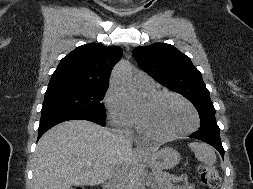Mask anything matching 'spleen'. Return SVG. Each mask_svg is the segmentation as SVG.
Here are the masks:
<instances>
[{"mask_svg": "<svg viewBox=\"0 0 253 189\" xmlns=\"http://www.w3.org/2000/svg\"><path fill=\"white\" fill-rule=\"evenodd\" d=\"M189 148L194 152L195 157L205 164L212 165L216 162V154L214 149L204 143L191 142Z\"/></svg>", "mask_w": 253, "mask_h": 189, "instance_id": "1", "label": "spleen"}]
</instances>
